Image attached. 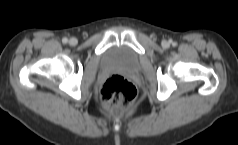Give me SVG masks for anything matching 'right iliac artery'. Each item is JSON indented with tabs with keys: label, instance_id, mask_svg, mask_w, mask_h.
Masks as SVG:
<instances>
[{
	"label": "right iliac artery",
	"instance_id": "82829eb1",
	"mask_svg": "<svg viewBox=\"0 0 238 145\" xmlns=\"http://www.w3.org/2000/svg\"><path fill=\"white\" fill-rule=\"evenodd\" d=\"M62 42H63L64 44H66V43L68 42V39H67V38H63V39H62Z\"/></svg>",
	"mask_w": 238,
	"mask_h": 145
}]
</instances>
